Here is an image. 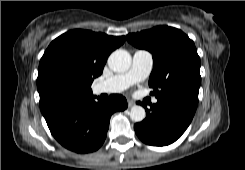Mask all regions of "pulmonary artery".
<instances>
[{"mask_svg":"<svg viewBox=\"0 0 245 170\" xmlns=\"http://www.w3.org/2000/svg\"><path fill=\"white\" fill-rule=\"evenodd\" d=\"M153 65L152 54L147 50H136L133 54L132 65L124 73L116 74L96 85L97 93H120L133 84L148 77ZM157 103V99H153Z\"/></svg>","mask_w":245,"mask_h":170,"instance_id":"pulmonary-artery-1","label":"pulmonary artery"}]
</instances>
